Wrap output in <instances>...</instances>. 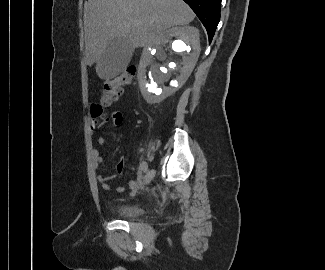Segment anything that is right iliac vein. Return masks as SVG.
<instances>
[{"mask_svg":"<svg viewBox=\"0 0 325 270\" xmlns=\"http://www.w3.org/2000/svg\"><path fill=\"white\" fill-rule=\"evenodd\" d=\"M155 171L149 170L144 178V184H148L154 177Z\"/></svg>","mask_w":325,"mask_h":270,"instance_id":"obj_1","label":"right iliac vein"}]
</instances>
